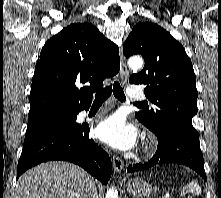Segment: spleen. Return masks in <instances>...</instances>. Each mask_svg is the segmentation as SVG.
<instances>
[{
  "instance_id": "3e777b00",
  "label": "spleen",
  "mask_w": 221,
  "mask_h": 198,
  "mask_svg": "<svg viewBox=\"0 0 221 198\" xmlns=\"http://www.w3.org/2000/svg\"><path fill=\"white\" fill-rule=\"evenodd\" d=\"M188 187L194 195H200L202 192L201 187L194 181H191Z\"/></svg>"
}]
</instances>
